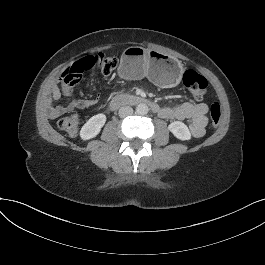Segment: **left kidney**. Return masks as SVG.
<instances>
[{
  "mask_svg": "<svg viewBox=\"0 0 265 265\" xmlns=\"http://www.w3.org/2000/svg\"><path fill=\"white\" fill-rule=\"evenodd\" d=\"M168 130L180 141H190L192 134L185 123L175 120L168 125Z\"/></svg>",
  "mask_w": 265,
  "mask_h": 265,
  "instance_id": "5707ae66",
  "label": "left kidney"
}]
</instances>
